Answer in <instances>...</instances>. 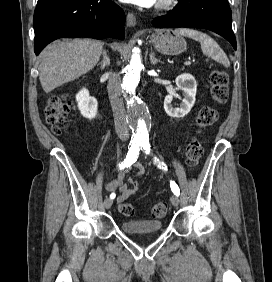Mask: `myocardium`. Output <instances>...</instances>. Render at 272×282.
Here are the masks:
<instances>
[{"label": "myocardium", "instance_id": "f54148a6", "mask_svg": "<svg viewBox=\"0 0 272 282\" xmlns=\"http://www.w3.org/2000/svg\"><path fill=\"white\" fill-rule=\"evenodd\" d=\"M178 0H158L156 10L160 12H167L172 10L177 5Z\"/></svg>", "mask_w": 272, "mask_h": 282}]
</instances>
